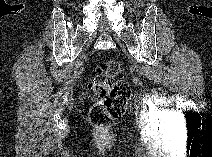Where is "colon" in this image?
Segmentation results:
<instances>
[{
    "mask_svg": "<svg viewBox=\"0 0 212 157\" xmlns=\"http://www.w3.org/2000/svg\"><path fill=\"white\" fill-rule=\"evenodd\" d=\"M122 72L120 63L109 59L88 83L91 94L99 98V102L92 106L89 113L91 123L97 128L108 129L126 112L131 87L126 80L120 78Z\"/></svg>",
    "mask_w": 212,
    "mask_h": 157,
    "instance_id": "5ec220e1",
    "label": "colon"
}]
</instances>
